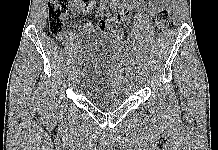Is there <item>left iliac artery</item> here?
Here are the masks:
<instances>
[{"mask_svg":"<svg viewBox=\"0 0 218 150\" xmlns=\"http://www.w3.org/2000/svg\"><path fill=\"white\" fill-rule=\"evenodd\" d=\"M130 74H133V73H135V69H130Z\"/></svg>","mask_w":218,"mask_h":150,"instance_id":"obj_1","label":"left iliac artery"}]
</instances>
